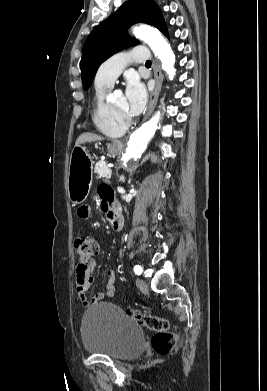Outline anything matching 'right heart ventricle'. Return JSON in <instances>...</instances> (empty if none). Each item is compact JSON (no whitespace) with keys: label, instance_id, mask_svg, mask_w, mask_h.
Here are the masks:
<instances>
[{"label":"right heart ventricle","instance_id":"obj_1","mask_svg":"<svg viewBox=\"0 0 267 391\" xmlns=\"http://www.w3.org/2000/svg\"><path fill=\"white\" fill-rule=\"evenodd\" d=\"M110 87H95V95L92 105V120L96 128L108 137H120L126 131V126L121 125L113 117L109 104L105 97Z\"/></svg>","mask_w":267,"mask_h":391}]
</instances>
